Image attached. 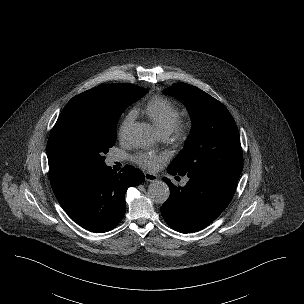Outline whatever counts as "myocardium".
I'll use <instances>...</instances> for the list:
<instances>
[{
  "mask_svg": "<svg viewBox=\"0 0 304 304\" xmlns=\"http://www.w3.org/2000/svg\"><path fill=\"white\" fill-rule=\"evenodd\" d=\"M191 131V122L187 118H178L170 132L175 140L182 141L189 135Z\"/></svg>",
  "mask_w": 304,
  "mask_h": 304,
  "instance_id": "1",
  "label": "myocardium"
}]
</instances>
